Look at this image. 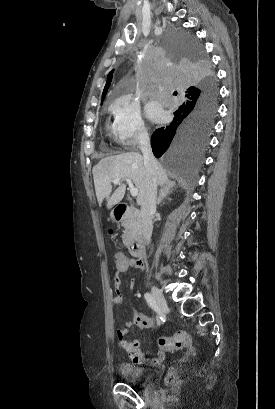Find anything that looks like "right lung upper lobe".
<instances>
[{
	"label": "right lung upper lobe",
	"instance_id": "cb5924a9",
	"mask_svg": "<svg viewBox=\"0 0 275 409\" xmlns=\"http://www.w3.org/2000/svg\"><path fill=\"white\" fill-rule=\"evenodd\" d=\"M113 72H114V70H112V71L108 74L107 82H106V85H105V87H104L103 94H102V101H101V103L103 102V100H104V98H105V95H106V93H107V91H108V88H109V86H110V84H111ZM195 89H196L195 86H190V87L187 89V94H186V96L189 98V97L192 95V93L195 91Z\"/></svg>",
	"mask_w": 275,
	"mask_h": 409
}]
</instances>
